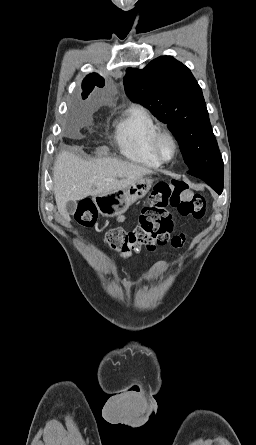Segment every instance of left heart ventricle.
<instances>
[{"label": "left heart ventricle", "mask_w": 256, "mask_h": 445, "mask_svg": "<svg viewBox=\"0 0 256 445\" xmlns=\"http://www.w3.org/2000/svg\"><path fill=\"white\" fill-rule=\"evenodd\" d=\"M161 152L163 156L167 159L171 158L174 152L173 145L167 138L163 139L161 142Z\"/></svg>", "instance_id": "1"}]
</instances>
